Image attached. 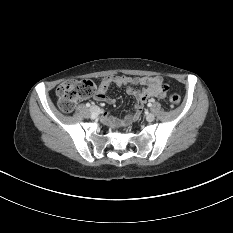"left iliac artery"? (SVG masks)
I'll use <instances>...</instances> for the list:
<instances>
[{
	"instance_id": "obj_1",
	"label": "left iliac artery",
	"mask_w": 233,
	"mask_h": 233,
	"mask_svg": "<svg viewBox=\"0 0 233 233\" xmlns=\"http://www.w3.org/2000/svg\"><path fill=\"white\" fill-rule=\"evenodd\" d=\"M147 106H148V107H151V106H152V103H151V102H149Z\"/></svg>"
}]
</instances>
